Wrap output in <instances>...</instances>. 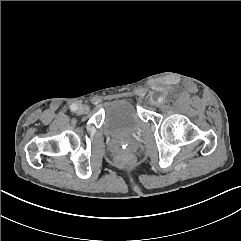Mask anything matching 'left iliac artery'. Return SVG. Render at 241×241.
<instances>
[{
    "instance_id": "44dca946",
    "label": "left iliac artery",
    "mask_w": 241,
    "mask_h": 241,
    "mask_svg": "<svg viewBox=\"0 0 241 241\" xmlns=\"http://www.w3.org/2000/svg\"><path fill=\"white\" fill-rule=\"evenodd\" d=\"M158 102H163V98L162 97H160L159 99H158Z\"/></svg>"
}]
</instances>
